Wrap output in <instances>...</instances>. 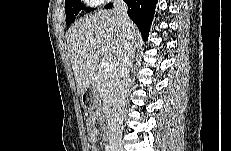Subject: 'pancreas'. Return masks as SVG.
I'll return each mask as SVG.
<instances>
[{
    "label": "pancreas",
    "mask_w": 231,
    "mask_h": 151,
    "mask_svg": "<svg viewBox=\"0 0 231 151\" xmlns=\"http://www.w3.org/2000/svg\"><path fill=\"white\" fill-rule=\"evenodd\" d=\"M113 82L112 72H105L104 70L99 71L95 79V86L100 92L105 107H108L113 100Z\"/></svg>",
    "instance_id": "pancreas-1"
}]
</instances>
